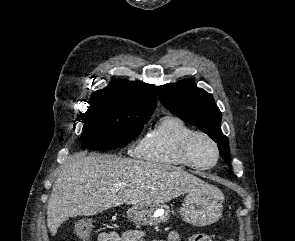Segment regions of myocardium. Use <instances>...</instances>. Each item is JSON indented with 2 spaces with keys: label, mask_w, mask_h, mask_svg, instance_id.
<instances>
[{
  "label": "myocardium",
  "mask_w": 295,
  "mask_h": 241,
  "mask_svg": "<svg viewBox=\"0 0 295 241\" xmlns=\"http://www.w3.org/2000/svg\"><path fill=\"white\" fill-rule=\"evenodd\" d=\"M199 137L205 138L206 140H208L215 149V154H216L215 160L209 166L199 165L192 158L191 148H192L193 142ZM180 155L183 161L185 162V164L188 165L189 167L198 169V170H210L214 168L219 162L221 152H220V148L217 141L211 135L203 131H193L183 140L180 147Z\"/></svg>",
  "instance_id": "obj_1"
}]
</instances>
